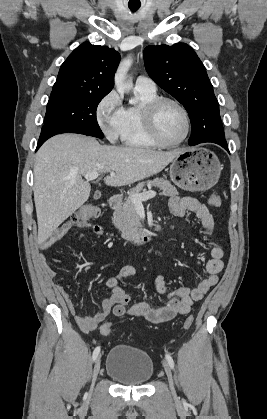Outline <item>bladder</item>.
<instances>
[{
    "label": "bladder",
    "instance_id": "bladder-1",
    "mask_svg": "<svg viewBox=\"0 0 267 419\" xmlns=\"http://www.w3.org/2000/svg\"><path fill=\"white\" fill-rule=\"evenodd\" d=\"M106 373L119 384L141 386L147 384L154 373L152 358L145 351L116 345L108 353Z\"/></svg>",
    "mask_w": 267,
    "mask_h": 419
}]
</instances>
